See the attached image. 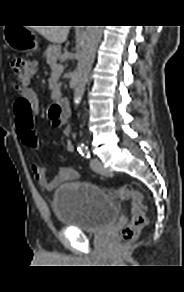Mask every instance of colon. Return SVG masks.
Here are the masks:
<instances>
[{
    "mask_svg": "<svg viewBox=\"0 0 184 292\" xmlns=\"http://www.w3.org/2000/svg\"><path fill=\"white\" fill-rule=\"evenodd\" d=\"M10 67L19 89V97L15 101V116L21 142L27 148L37 151L39 144L34 130V121L40 110V100L36 92L28 88L36 72L37 63L35 60L16 56L11 60ZM114 193L121 200L131 202L132 217L121 231V242L133 243L147 223L142 194L128 184L115 189Z\"/></svg>",
    "mask_w": 184,
    "mask_h": 292,
    "instance_id": "obj_1",
    "label": "colon"
}]
</instances>
